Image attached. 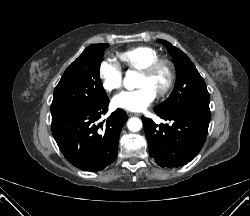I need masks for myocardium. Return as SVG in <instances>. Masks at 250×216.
<instances>
[{"label":"myocardium","instance_id":"obj_1","mask_svg":"<svg viewBox=\"0 0 250 216\" xmlns=\"http://www.w3.org/2000/svg\"><path fill=\"white\" fill-rule=\"evenodd\" d=\"M160 68L163 72L164 80H163V83L161 84V86L159 87V92L164 93L169 89V87L172 83L173 70H172L171 66L167 63L161 64Z\"/></svg>","mask_w":250,"mask_h":216}]
</instances>
